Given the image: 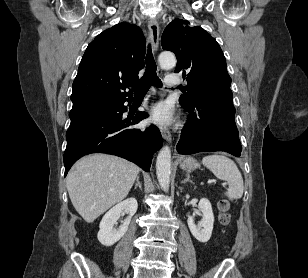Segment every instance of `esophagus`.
<instances>
[{
    "label": "esophagus",
    "instance_id": "obj_1",
    "mask_svg": "<svg viewBox=\"0 0 308 278\" xmlns=\"http://www.w3.org/2000/svg\"><path fill=\"white\" fill-rule=\"evenodd\" d=\"M148 28L150 31V38H151V44H152V50L153 53L156 54L158 50V45H159V26L158 23L155 20H149L148 21ZM158 73L161 74L162 70L158 68ZM160 132L162 137L167 141L171 142L172 137H171V132L169 129L165 127H160Z\"/></svg>",
    "mask_w": 308,
    "mask_h": 278
}]
</instances>
